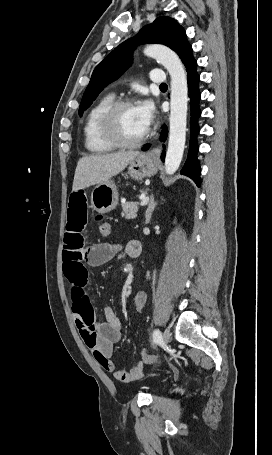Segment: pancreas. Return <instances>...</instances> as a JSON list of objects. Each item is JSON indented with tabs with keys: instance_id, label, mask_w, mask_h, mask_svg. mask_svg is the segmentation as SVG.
<instances>
[{
	"instance_id": "1",
	"label": "pancreas",
	"mask_w": 272,
	"mask_h": 455,
	"mask_svg": "<svg viewBox=\"0 0 272 455\" xmlns=\"http://www.w3.org/2000/svg\"><path fill=\"white\" fill-rule=\"evenodd\" d=\"M138 202H126L122 204L123 211L121 213L122 217L125 219H134L137 217L138 212Z\"/></svg>"
}]
</instances>
